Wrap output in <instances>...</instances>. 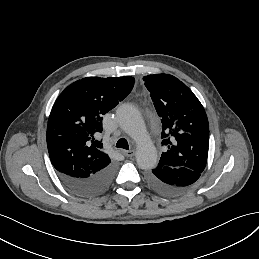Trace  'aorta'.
I'll use <instances>...</instances> for the list:
<instances>
[{"label": "aorta", "instance_id": "obj_1", "mask_svg": "<svg viewBox=\"0 0 259 259\" xmlns=\"http://www.w3.org/2000/svg\"><path fill=\"white\" fill-rule=\"evenodd\" d=\"M120 126L136 142V162L139 168L148 170L157 165L158 155L150 140L140 112L131 104H123L117 109Z\"/></svg>", "mask_w": 259, "mask_h": 259}]
</instances>
